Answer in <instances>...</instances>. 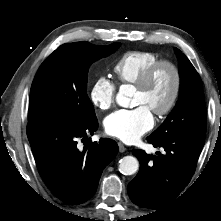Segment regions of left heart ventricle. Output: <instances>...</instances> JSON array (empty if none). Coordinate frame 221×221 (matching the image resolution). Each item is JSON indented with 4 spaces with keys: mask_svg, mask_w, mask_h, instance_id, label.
Listing matches in <instances>:
<instances>
[{
    "mask_svg": "<svg viewBox=\"0 0 221 221\" xmlns=\"http://www.w3.org/2000/svg\"><path fill=\"white\" fill-rule=\"evenodd\" d=\"M173 82L172 71L160 68L144 90H135V105H144L152 112L163 108L171 96Z\"/></svg>",
    "mask_w": 221,
    "mask_h": 221,
    "instance_id": "left-heart-ventricle-1",
    "label": "left heart ventricle"
}]
</instances>
